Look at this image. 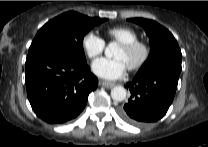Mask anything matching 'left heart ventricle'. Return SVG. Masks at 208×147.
Here are the masks:
<instances>
[{
    "label": "left heart ventricle",
    "mask_w": 208,
    "mask_h": 147,
    "mask_svg": "<svg viewBox=\"0 0 208 147\" xmlns=\"http://www.w3.org/2000/svg\"><path fill=\"white\" fill-rule=\"evenodd\" d=\"M140 51H127L121 46L117 48V50L114 53L115 58H120L122 59L126 65L129 67L132 64H134L140 57Z\"/></svg>",
    "instance_id": "left-heart-ventricle-1"
}]
</instances>
